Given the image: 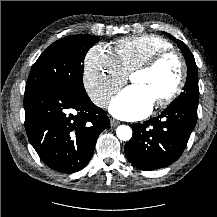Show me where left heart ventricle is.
<instances>
[{
	"label": "left heart ventricle",
	"mask_w": 217,
	"mask_h": 217,
	"mask_svg": "<svg viewBox=\"0 0 217 217\" xmlns=\"http://www.w3.org/2000/svg\"><path fill=\"white\" fill-rule=\"evenodd\" d=\"M177 76V64L173 59H169L153 72L133 74L130 81L132 85L141 87L155 103L174 89Z\"/></svg>",
	"instance_id": "1"
}]
</instances>
